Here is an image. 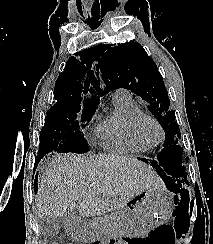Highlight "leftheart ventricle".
<instances>
[{"label": "left heart ventricle", "mask_w": 213, "mask_h": 244, "mask_svg": "<svg viewBox=\"0 0 213 244\" xmlns=\"http://www.w3.org/2000/svg\"><path fill=\"white\" fill-rule=\"evenodd\" d=\"M144 133L150 139H157L159 137L158 129L152 123H147L144 126Z\"/></svg>", "instance_id": "b2bd125f"}]
</instances>
